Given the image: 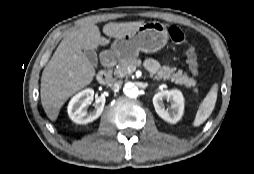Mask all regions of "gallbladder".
<instances>
[{
    "label": "gallbladder",
    "instance_id": "bac80fb5",
    "mask_svg": "<svg viewBox=\"0 0 254 174\" xmlns=\"http://www.w3.org/2000/svg\"><path fill=\"white\" fill-rule=\"evenodd\" d=\"M83 52L94 66L98 65V57L94 50L86 49Z\"/></svg>",
    "mask_w": 254,
    "mask_h": 174
}]
</instances>
